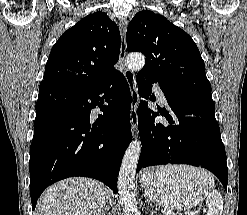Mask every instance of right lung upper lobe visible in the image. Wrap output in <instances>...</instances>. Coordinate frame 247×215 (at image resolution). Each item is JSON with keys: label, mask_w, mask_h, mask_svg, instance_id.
Here are the masks:
<instances>
[{"label": "right lung upper lobe", "mask_w": 247, "mask_h": 215, "mask_svg": "<svg viewBox=\"0 0 247 215\" xmlns=\"http://www.w3.org/2000/svg\"><path fill=\"white\" fill-rule=\"evenodd\" d=\"M120 32L107 14L96 12L68 29L53 46L42 82L86 88L116 71Z\"/></svg>", "instance_id": "1"}]
</instances>
